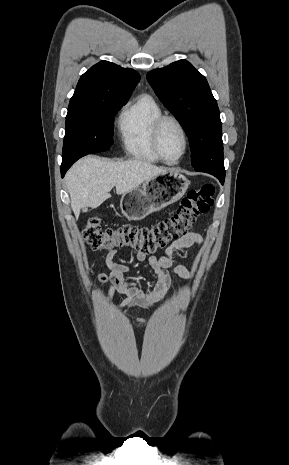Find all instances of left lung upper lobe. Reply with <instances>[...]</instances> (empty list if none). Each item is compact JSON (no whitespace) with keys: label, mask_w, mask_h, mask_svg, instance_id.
Returning <instances> with one entry per match:
<instances>
[{"label":"left lung upper lobe","mask_w":289,"mask_h":465,"mask_svg":"<svg viewBox=\"0 0 289 465\" xmlns=\"http://www.w3.org/2000/svg\"><path fill=\"white\" fill-rule=\"evenodd\" d=\"M147 79L186 132L195 170L224 175L222 123L206 78L188 61L179 60L149 72Z\"/></svg>","instance_id":"1"}]
</instances>
